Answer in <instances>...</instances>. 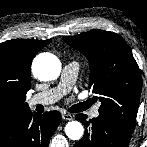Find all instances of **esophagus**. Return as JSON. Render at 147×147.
<instances>
[{
    "label": "esophagus",
    "instance_id": "obj_1",
    "mask_svg": "<svg viewBox=\"0 0 147 147\" xmlns=\"http://www.w3.org/2000/svg\"><path fill=\"white\" fill-rule=\"evenodd\" d=\"M62 119L63 120H73V115L69 114V113H64L62 114Z\"/></svg>",
    "mask_w": 147,
    "mask_h": 147
}]
</instances>
